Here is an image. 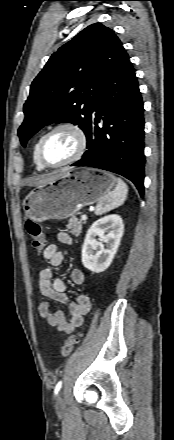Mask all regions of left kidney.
<instances>
[{
    "mask_svg": "<svg viewBox=\"0 0 174 440\" xmlns=\"http://www.w3.org/2000/svg\"><path fill=\"white\" fill-rule=\"evenodd\" d=\"M123 232L124 224L119 215L111 214L95 221L82 247L84 267L95 273L105 271L117 252ZM96 236L99 241L95 239Z\"/></svg>",
    "mask_w": 174,
    "mask_h": 440,
    "instance_id": "left-kidney-1",
    "label": "left kidney"
}]
</instances>
